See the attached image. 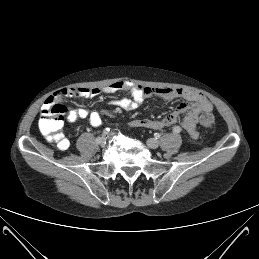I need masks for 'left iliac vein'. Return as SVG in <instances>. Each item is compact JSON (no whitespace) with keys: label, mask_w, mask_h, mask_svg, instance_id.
I'll return each instance as SVG.
<instances>
[{"label":"left iliac vein","mask_w":259,"mask_h":259,"mask_svg":"<svg viewBox=\"0 0 259 259\" xmlns=\"http://www.w3.org/2000/svg\"><path fill=\"white\" fill-rule=\"evenodd\" d=\"M147 145L149 148L157 149L159 147V142L154 138H150L147 140Z\"/></svg>","instance_id":"left-iliac-vein-1"}]
</instances>
